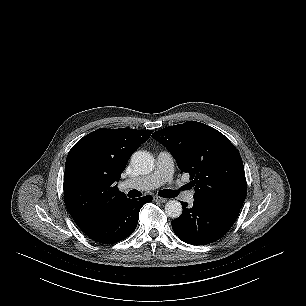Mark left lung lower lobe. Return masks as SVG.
<instances>
[{"label":"left lung lower lobe","mask_w":306,"mask_h":306,"mask_svg":"<svg viewBox=\"0 0 306 306\" xmlns=\"http://www.w3.org/2000/svg\"><path fill=\"white\" fill-rule=\"evenodd\" d=\"M183 212L172 221L174 233L184 242L204 245L222 238L236 221L239 207L194 201L192 207L181 202Z\"/></svg>","instance_id":"left-lung-lower-lobe-1"}]
</instances>
